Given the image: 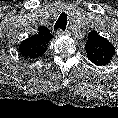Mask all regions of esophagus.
<instances>
[{"label":"esophagus","mask_w":118,"mask_h":118,"mask_svg":"<svg viewBox=\"0 0 118 118\" xmlns=\"http://www.w3.org/2000/svg\"><path fill=\"white\" fill-rule=\"evenodd\" d=\"M56 34H57L58 36H62V35L69 34V31H68V30L63 31V30H61V29H58V30L56 31Z\"/></svg>","instance_id":"obj_1"}]
</instances>
